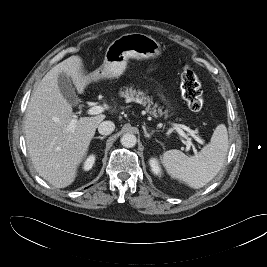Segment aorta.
<instances>
[{
    "instance_id": "762f6f07",
    "label": "aorta",
    "mask_w": 267,
    "mask_h": 267,
    "mask_svg": "<svg viewBox=\"0 0 267 267\" xmlns=\"http://www.w3.org/2000/svg\"><path fill=\"white\" fill-rule=\"evenodd\" d=\"M136 141H137L136 136L130 133L124 134L120 139L121 144L126 148L134 147Z\"/></svg>"
}]
</instances>
